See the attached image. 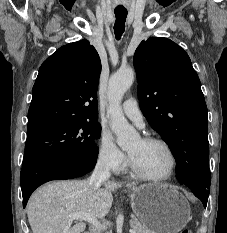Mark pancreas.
<instances>
[{
    "mask_svg": "<svg viewBox=\"0 0 227 233\" xmlns=\"http://www.w3.org/2000/svg\"><path fill=\"white\" fill-rule=\"evenodd\" d=\"M131 228L134 230L133 233H151L148 229H146L142 223L136 219L133 218L130 221Z\"/></svg>",
    "mask_w": 227,
    "mask_h": 233,
    "instance_id": "cf45deb5",
    "label": "pancreas"
}]
</instances>
